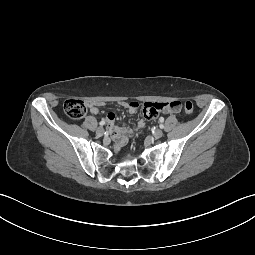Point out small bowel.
<instances>
[{
  "mask_svg": "<svg viewBox=\"0 0 255 255\" xmlns=\"http://www.w3.org/2000/svg\"><path fill=\"white\" fill-rule=\"evenodd\" d=\"M102 103L91 102L89 104L90 112L94 115L98 113V106ZM139 104L136 102L133 103H122V106L127 108L130 112H134L136 107ZM183 111V104L177 100H167L165 102H147L143 104V114L146 119H153L161 113H170V114H180ZM116 120L115 113H109L105 122H107L111 134L115 139L116 146L119 148L123 146L128 139V136L131 135L134 131L133 128L129 127H117L114 125ZM144 123L140 121L137 124V128H142Z\"/></svg>",
  "mask_w": 255,
  "mask_h": 255,
  "instance_id": "obj_1",
  "label": "small bowel"
}]
</instances>
